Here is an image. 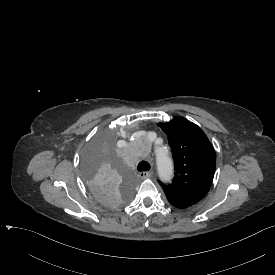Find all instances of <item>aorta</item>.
<instances>
[{"instance_id":"aorta-1","label":"aorta","mask_w":275,"mask_h":275,"mask_svg":"<svg viewBox=\"0 0 275 275\" xmlns=\"http://www.w3.org/2000/svg\"><path fill=\"white\" fill-rule=\"evenodd\" d=\"M156 164L159 180L163 183H170L174 177L172 158L169 155H165Z\"/></svg>"}]
</instances>
